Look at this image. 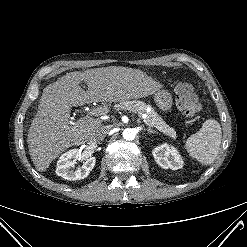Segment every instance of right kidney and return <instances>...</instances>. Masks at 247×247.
Instances as JSON below:
<instances>
[{"mask_svg": "<svg viewBox=\"0 0 247 247\" xmlns=\"http://www.w3.org/2000/svg\"><path fill=\"white\" fill-rule=\"evenodd\" d=\"M80 157L78 149H72L59 158L56 174L70 181L86 178L96 163L95 157H87L81 168L74 170L75 161Z\"/></svg>", "mask_w": 247, "mask_h": 247, "instance_id": "ca27d5eb", "label": "right kidney"}]
</instances>
